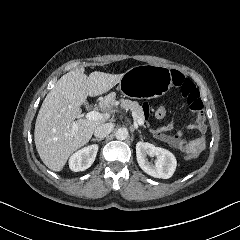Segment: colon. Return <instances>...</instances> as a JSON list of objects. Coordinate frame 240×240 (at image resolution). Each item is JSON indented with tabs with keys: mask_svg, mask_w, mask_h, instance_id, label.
I'll list each match as a JSON object with an SVG mask.
<instances>
[{
	"mask_svg": "<svg viewBox=\"0 0 240 240\" xmlns=\"http://www.w3.org/2000/svg\"><path fill=\"white\" fill-rule=\"evenodd\" d=\"M173 79L176 82V87L182 89L183 96L188 102L189 108L193 112V120L197 127L201 131H204V116H203V102L200 99L199 91L196 86L192 84L187 76H182L180 72H175L173 74ZM157 118H163L165 116V111L159 108L155 111ZM198 153H202V144H197V149L195 147L190 149L191 156H198Z\"/></svg>",
	"mask_w": 240,
	"mask_h": 240,
	"instance_id": "colon-1",
	"label": "colon"
}]
</instances>
